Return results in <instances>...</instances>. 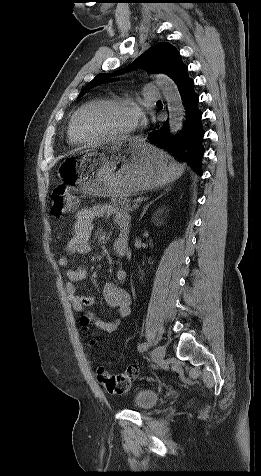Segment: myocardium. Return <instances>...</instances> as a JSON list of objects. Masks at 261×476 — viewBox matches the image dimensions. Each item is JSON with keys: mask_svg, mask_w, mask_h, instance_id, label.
<instances>
[{"mask_svg": "<svg viewBox=\"0 0 261 476\" xmlns=\"http://www.w3.org/2000/svg\"><path fill=\"white\" fill-rule=\"evenodd\" d=\"M99 104H111V105H120L124 107H128L133 109L136 113L139 111L138 106L134 104L133 102L126 100V99H121V98H96L93 99L82 106H80L76 112L74 113L72 120H71V128L72 132L75 136V138L80 142V143H87V144H94V143H101L105 141H110V140H126L129 137L133 135L135 132L138 124L134 125L132 128L129 130L118 133V134H108V135H102L98 137H86L83 135V133L80 131L79 128V118L81 114L88 108L99 105Z\"/></svg>", "mask_w": 261, "mask_h": 476, "instance_id": "obj_1", "label": "myocardium"}]
</instances>
